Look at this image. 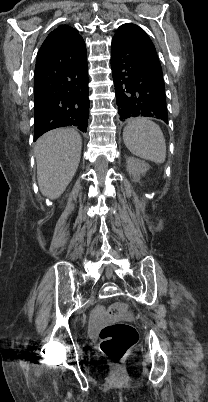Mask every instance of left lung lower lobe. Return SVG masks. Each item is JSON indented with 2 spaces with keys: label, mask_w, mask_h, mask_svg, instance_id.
<instances>
[{
  "label": "left lung lower lobe",
  "mask_w": 208,
  "mask_h": 402,
  "mask_svg": "<svg viewBox=\"0 0 208 402\" xmlns=\"http://www.w3.org/2000/svg\"><path fill=\"white\" fill-rule=\"evenodd\" d=\"M148 35L131 23L112 39L111 69L120 120L153 117L168 123L164 80L146 61Z\"/></svg>",
  "instance_id": "1"
}]
</instances>
